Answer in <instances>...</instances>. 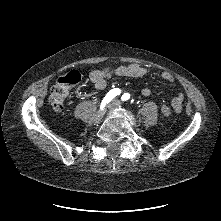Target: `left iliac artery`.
<instances>
[{
	"mask_svg": "<svg viewBox=\"0 0 221 221\" xmlns=\"http://www.w3.org/2000/svg\"><path fill=\"white\" fill-rule=\"evenodd\" d=\"M129 97H130V95H129L128 93H125L124 95H122L121 99H122L123 101H126V100L129 99Z\"/></svg>",
	"mask_w": 221,
	"mask_h": 221,
	"instance_id": "1",
	"label": "left iliac artery"
}]
</instances>
